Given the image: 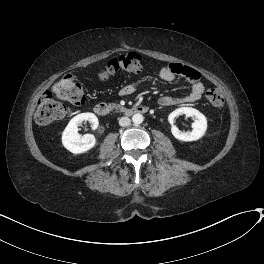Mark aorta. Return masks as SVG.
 I'll list each match as a JSON object with an SVG mask.
<instances>
[{"label":"aorta","instance_id":"762f6f07","mask_svg":"<svg viewBox=\"0 0 264 264\" xmlns=\"http://www.w3.org/2000/svg\"><path fill=\"white\" fill-rule=\"evenodd\" d=\"M144 120V117L142 114L140 113H136L132 116V122L135 124V125H139L143 122Z\"/></svg>","mask_w":264,"mask_h":264}]
</instances>
